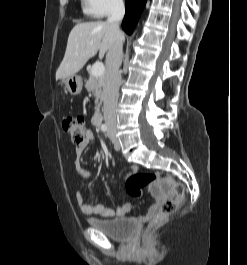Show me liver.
I'll return each instance as SVG.
<instances>
[{"label": "liver", "instance_id": "obj_1", "mask_svg": "<svg viewBox=\"0 0 247 265\" xmlns=\"http://www.w3.org/2000/svg\"><path fill=\"white\" fill-rule=\"evenodd\" d=\"M117 36V31L108 22L76 24L69 34L64 58L56 71V80L78 73L98 51L99 57L103 58Z\"/></svg>", "mask_w": 247, "mask_h": 265}]
</instances>
